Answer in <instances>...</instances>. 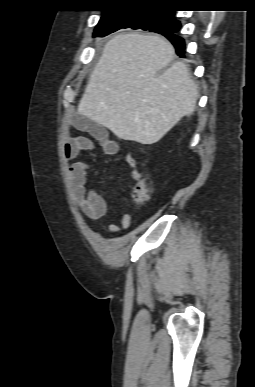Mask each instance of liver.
<instances>
[{
  "label": "liver",
  "instance_id": "obj_1",
  "mask_svg": "<svg viewBox=\"0 0 255 387\" xmlns=\"http://www.w3.org/2000/svg\"><path fill=\"white\" fill-rule=\"evenodd\" d=\"M164 37L140 33L110 39L78 104L79 114L118 138L158 142L197 103V86Z\"/></svg>",
  "mask_w": 255,
  "mask_h": 387
}]
</instances>
